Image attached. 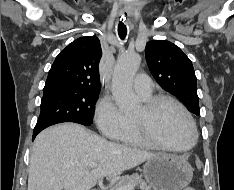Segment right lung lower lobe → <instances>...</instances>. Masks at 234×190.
Returning <instances> with one entry per match:
<instances>
[{"label": "right lung lower lobe", "instance_id": "right-lung-lower-lobe-1", "mask_svg": "<svg viewBox=\"0 0 234 190\" xmlns=\"http://www.w3.org/2000/svg\"><path fill=\"white\" fill-rule=\"evenodd\" d=\"M40 131H34L33 132V140H34V138L36 137V135L39 133Z\"/></svg>", "mask_w": 234, "mask_h": 190}]
</instances>
